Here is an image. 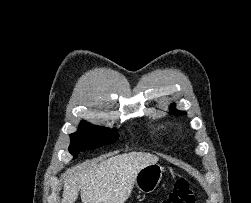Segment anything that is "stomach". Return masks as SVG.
Returning <instances> with one entry per match:
<instances>
[{
    "label": "stomach",
    "mask_w": 251,
    "mask_h": 203,
    "mask_svg": "<svg viewBox=\"0 0 251 203\" xmlns=\"http://www.w3.org/2000/svg\"><path fill=\"white\" fill-rule=\"evenodd\" d=\"M163 172V167L157 163L142 168L135 180L139 191L142 193H152L159 185Z\"/></svg>",
    "instance_id": "0dacf381"
}]
</instances>
